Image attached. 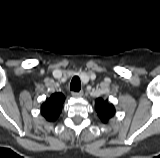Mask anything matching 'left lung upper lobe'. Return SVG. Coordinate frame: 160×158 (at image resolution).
Here are the masks:
<instances>
[{
  "instance_id": "1",
  "label": "left lung upper lobe",
  "mask_w": 160,
  "mask_h": 158,
  "mask_svg": "<svg viewBox=\"0 0 160 158\" xmlns=\"http://www.w3.org/2000/svg\"><path fill=\"white\" fill-rule=\"evenodd\" d=\"M96 111L98 113L99 118L103 123H107L108 120L114 116L115 108L112 104L108 103L107 100H103L102 98L96 99L95 102Z\"/></svg>"
}]
</instances>
